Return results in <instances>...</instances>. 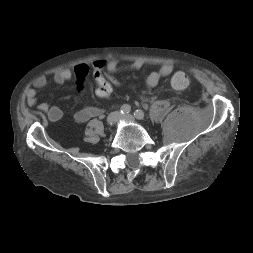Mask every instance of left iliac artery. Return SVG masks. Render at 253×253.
Returning <instances> with one entry per match:
<instances>
[{
  "mask_svg": "<svg viewBox=\"0 0 253 253\" xmlns=\"http://www.w3.org/2000/svg\"><path fill=\"white\" fill-rule=\"evenodd\" d=\"M134 116L137 118V119H139V120H142V119H144V117H145V114H144V112L142 111V110H136L135 112H134Z\"/></svg>",
  "mask_w": 253,
  "mask_h": 253,
  "instance_id": "1",
  "label": "left iliac artery"
}]
</instances>
